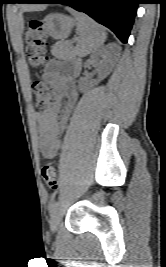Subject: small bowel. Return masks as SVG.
I'll list each match as a JSON object with an SVG mask.
<instances>
[{
  "instance_id": "1",
  "label": "small bowel",
  "mask_w": 166,
  "mask_h": 267,
  "mask_svg": "<svg viewBox=\"0 0 166 267\" xmlns=\"http://www.w3.org/2000/svg\"><path fill=\"white\" fill-rule=\"evenodd\" d=\"M77 69L65 66L58 60H51L42 78L59 91L60 97L65 98V106L61 111V103L56 101L48 108L35 113L38 123L39 146L42 154L53 158L60 147V136L65 127L68 116L77 99V92L73 83L77 76Z\"/></svg>"
}]
</instances>
